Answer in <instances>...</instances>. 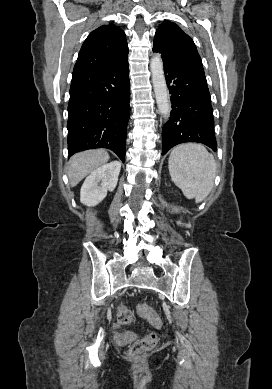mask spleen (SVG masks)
Here are the masks:
<instances>
[{"label":"spleen","instance_id":"spleen-1","mask_svg":"<svg viewBox=\"0 0 272 389\" xmlns=\"http://www.w3.org/2000/svg\"><path fill=\"white\" fill-rule=\"evenodd\" d=\"M170 176L186 198L201 202L210 193L216 162L204 146L188 143L175 147L168 162Z\"/></svg>","mask_w":272,"mask_h":389}]
</instances>
